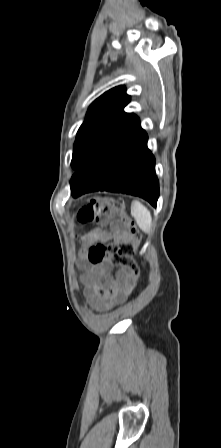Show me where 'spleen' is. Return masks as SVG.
<instances>
[{
	"mask_svg": "<svg viewBox=\"0 0 221 448\" xmlns=\"http://www.w3.org/2000/svg\"><path fill=\"white\" fill-rule=\"evenodd\" d=\"M131 215L137 225L144 233H149L152 226V216L150 211L139 201H132Z\"/></svg>",
	"mask_w": 221,
	"mask_h": 448,
	"instance_id": "obj_1",
	"label": "spleen"
}]
</instances>
